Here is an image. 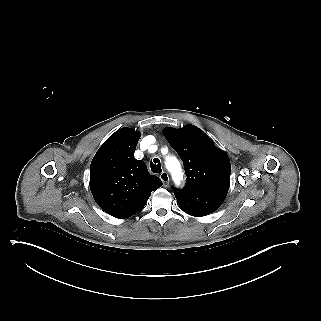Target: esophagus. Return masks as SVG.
<instances>
[{
    "instance_id": "34e87169",
    "label": "esophagus",
    "mask_w": 321,
    "mask_h": 321,
    "mask_svg": "<svg viewBox=\"0 0 321 321\" xmlns=\"http://www.w3.org/2000/svg\"><path fill=\"white\" fill-rule=\"evenodd\" d=\"M160 179L162 180V182L164 183V187H167L168 182H169V175L167 172H162L160 174Z\"/></svg>"
}]
</instances>
